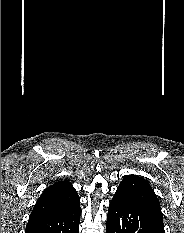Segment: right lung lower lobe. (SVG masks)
Wrapping results in <instances>:
<instances>
[{"label":"right lung lower lobe","instance_id":"obj_1","mask_svg":"<svg viewBox=\"0 0 184 233\" xmlns=\"http://www.w3.org/2000/svg\"><path fill=\"white\" fill-rule=\"evenodd\" d=\"M80 207L28 221L25 233H79Z\"/></svg>","mask_w":184,"mask_h":233}]
</instances>
